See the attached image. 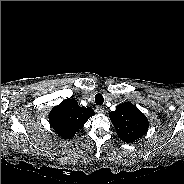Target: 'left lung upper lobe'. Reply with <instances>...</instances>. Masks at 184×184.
I'll return each mask as SVG.
<instances>
[{"mask_svg":"<svg viewBox=\"0 0 184 184\" xmlns=\"http://www.w3.org/2000/svg\"><path fill=\"white\" fill-rule=\"evenodd\" d=\"M109 117L121 140L130 143L146 134L149 122L145 115L132 103L119 104Z\"/></svg>","mask_w":184,"mask_h":184,"instance_id":"obj_1","label":"left lung upper lobe"}]
</instances>
